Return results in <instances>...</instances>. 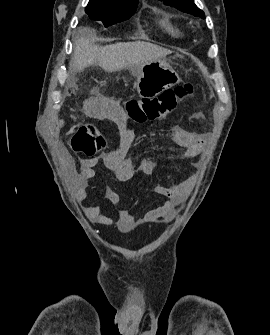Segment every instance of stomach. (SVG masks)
Segmentation results:
<instances>
[{
	"label": "stomach",
	"mask_w": 270,
	"mask_h": 335,
	"mask_svg": "<svg viewBox=\"0 0 270 335\" xmlns=\"http://www.w3.org/2000/svg\"><path fill=\"white\" fill-rule=\"evenodd\" d=\"M136 76L139 98H150V100L158 96L163 88H171L180 82L178 74L163 60L143 64L140 72H136Z\"/></svg>",
	"instance_id": "0dacf381"
}]
</instances>
